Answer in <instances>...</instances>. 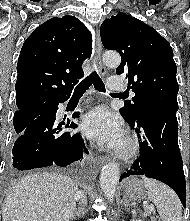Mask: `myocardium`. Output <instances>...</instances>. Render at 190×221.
<instances>
[{
	"label": "myocardium",
	"instance_id": "myocardium-1",
	"mask_svg": "<svg viewBox=\"0 0 190 221\" xmlns=\"http://www.w3.org/2000/svg\"><path fill=\"white\" fill-rule=\"evenodd\" d=\"M139 151V144L135 137L126 135L124 137V145L121 148H116L114 154L121 160H129L134 158Z\"/></svg>",
	"mask_w": 190,
	"mask_h": 221
}]
</instances>
